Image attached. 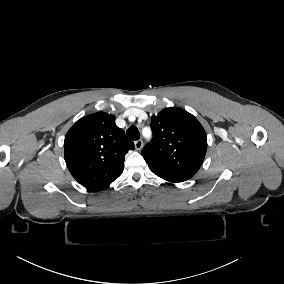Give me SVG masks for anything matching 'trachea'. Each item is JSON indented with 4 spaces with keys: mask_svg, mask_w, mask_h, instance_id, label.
<instances>
[{
    "mask_svg": "<svg viewBox=\"0 0 284 284\" xmlns=\"http://www.w3.org/2000/svg\"><path fill=\"white\" fill-rule=\"evenodd\" d=\"M126 135L131 140H138L140 138L139 130L136 126H130L126 131Z\"/></svg>",
    "mask_w": 284,
    "mask_h": 284,
    "instance_id": "trachea-1",
    "label": "trachea"
}]
</instances>
